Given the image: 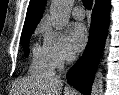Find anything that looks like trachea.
I'll use <instances>...</instances> for the list:
<instances>
[{
	"label": "trachea",
	"mask_w": 119,
	"mask_h": 95,
	"mask_svg": "<svg viewBox=\"0 0 119 95\" xmlns=\"http://www.w3.org/2000/svg\"><path fill=\"white\" fill-rule=\"evenodd\" d=\"M93 4V0H83V5L86 9L90 10Z\"/></svg>",
	"instance_id": "trachea-1"
}]
</instances>
